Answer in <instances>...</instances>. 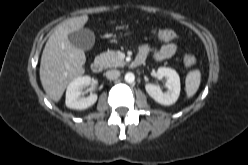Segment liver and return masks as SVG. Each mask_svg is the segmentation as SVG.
Wrapping results in <instances>:
<instances>
[{"label": "liver", "instance_id": "obj_1", "mask_svg": "<svg viewBox=\"0 0 248 165\" xmlns=\"http://www.w3.org/2000/svg\"><path fill=\"white\" fill-rule=\"evenodd\" d=\"M87 21V15L65 20L56 27L44 47L40 80L46 94L55 102L61 99L67 85L85 71V53L71 44L68 35L83 28Z\"/></svg>", "mask_w": 248, "mask_h": 165}]
</instances>
